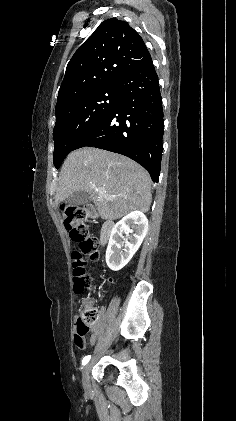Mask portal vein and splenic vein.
<instances>
[{
    "label": "portal vein and splenic vein",
    "mask_w": 236,
    "mask_h": 421,
    "mask_svg": "<svg viewBox=\"0 0 236 421\" xmlns=\"http://www.w3.org/2000/svg\"><path fill=\"white\" fill-rule=\"evenodd\" d=\"M90 188H98V190H101L99 186H96V184H90ZM118 196H123V198H127L125 194H108V196H105L107 200H115V198H118Z\"/></svg>",
    "instance_id": "portal-vein-and-splenic-vein-1"
}]
</instances>
